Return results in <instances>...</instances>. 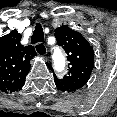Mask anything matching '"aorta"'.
Listing matches in <instances>:
<instances>
[{"mask_svg": "<svg viewBox=\"0 0 117 117\" xmlns=\"http://www.w3.org/2000/svg\"><path fill=\"white\" fill-rule=\"evenodd\" d=\"M53 60H54L55 68L58 71H60L64 68V66H65V56L59 48L54 49Z\"/></svg>", "mask_w": 117, "mask_h": 117, "instance_id": "obj_1", "label": "aorta"}]
</instances>
